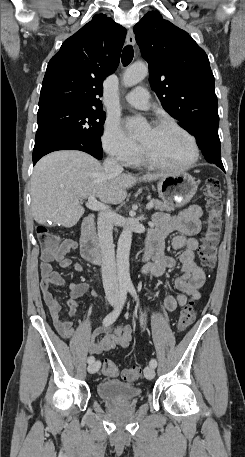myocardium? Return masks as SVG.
<instances>
[{"label":"myocardium","mask_w":245,"mask_h":457,"mask_svg":"<svg viewBox=\"0 0 245 457\" xmlns=\"http://www.w3.org/2000/svg\"><path fill=\"white\" fill-rule=\"evenodd\" d=\"M153 128L154 129L174 128V129H177L178 131H180L181 133H183L190 142L189 147H190V151H191V156H190V159L186 163H184L182 165L174 166V165H170V164L161 162V161L149 156L148 154L144 153L141 150V148L138 146V154H139L140 158L146 164H148L149 166H151L153 168L167 170V171H184V170H187V169H190L191 167H193V165L196 163V161L198 159L199 152H198L196 140L190 132H188L178 123H176L175 121H172L170 119H162V120L158 121L153 126Z\"/></svg>","instance_id":"f54148a6"}]
</instances>
